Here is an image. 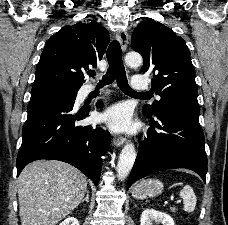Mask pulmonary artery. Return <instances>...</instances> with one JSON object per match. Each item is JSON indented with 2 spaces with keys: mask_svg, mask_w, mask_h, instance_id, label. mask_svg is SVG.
I'll return each mask as SVG.
<instances>
[{
  "mask_svg": "<svg viewBox=\"0 0 228 225\" xmlns=\"http://www.w3.org/2000/svg\"><path fill=\"white\" fill-rule=\"evenodd\" d=\"M133 79L134 80H146L147 76L146 75H134ZM146 85H147L146 81H134L133 90H145V88H147V87H145ZM94 90H95V87L91 84H88L85 88L86 93H91Z\"/></svg>",
  "mask_w": 228,
  "mask_h": 225,
  "instance_id": "obj_1",
  "label": "pulmonary artery"
}]
</instances>
